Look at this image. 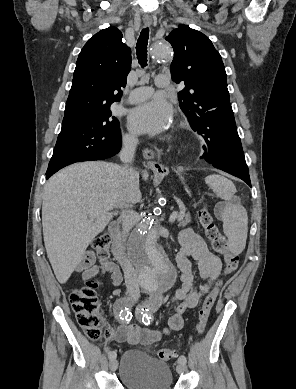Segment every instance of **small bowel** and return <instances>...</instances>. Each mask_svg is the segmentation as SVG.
<instances>
[{"label":"small bowel","mask_w":296,"mask_h":389,"mask_svg":"<svg viewBox=\"0 0 296 389\" xmlns=\"http://www.w3.org/2000/svg\"><path fill=\"white\" fill-rule=\"evenodd\" d=\"M223 207L219 206L221 214ZM181 249L176 257V263L180 271L181 286L174 292L170 300L177 304L175 313L169 318L167 327L162 330H152L136 324H121L113 337L117 343L151 344L160 340L163 334L178 331L183 327V313L187 309L198 306L202 297L209 291L213 282L218 278L222 263L218 256L213 254L199 233L192 228L184 229L179 235ZM191 259L196 261L200 284L194 286V274ZM75 271L80 273L84 281L93 278L100 271L110 274L111 283L117 287L122 283L123 276L119 267L113 262L102 265L95 263V255L92 251L83 254L76 265Z\"/></svg>","instance_id":"1"}]
</instances>
